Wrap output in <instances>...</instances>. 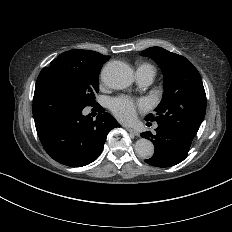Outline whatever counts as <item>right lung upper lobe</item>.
<instances>
[{
    "label": "right lung upper lobe",
    "mask_w": 232,
    "mask_h": 232,
    "mask_svg": "<svg viewBox=\"0 0 232 232\" xmlns=\"http://www.w3.org/2000/svg\"><path fill=\"white\" fill-rule=\"evenodd\" d=\"M58 58L67 62H81L93 66H102L110 57L95 51L70 50L60 54Z\"/></svg>",
    "instance_id": "right-lung-upper-lobe-1"
}]
</instances>
